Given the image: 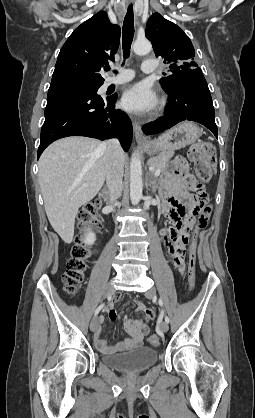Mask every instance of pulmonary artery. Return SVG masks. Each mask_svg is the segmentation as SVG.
<instances>
[{
	"mask_svg": "<svg viewBox=\"0 0 255 418\" xmlns=\"http://www.w3.org/2000/svg\"><path fill=\"white\" fill-rule=\"evenodd\" d=\"M157 63L156 60L152 58L145 59L142 63V70L145 73H152L156 70ZM133 78V71L130 69H119V75L116 77L108 78L106 81V86L110 85H119L125 82H128Z\"/></svg>",
	"mask_w": 255,
	"mask_h": 418,
	"instance_id": "obj_1",
	"label": "pulmonary artery"
}]
</instances>
